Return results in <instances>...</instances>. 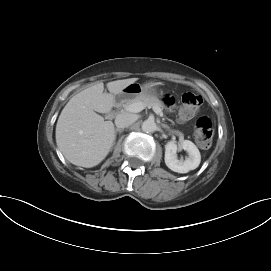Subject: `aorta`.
I'll list each match as a JSON object with an SVG mask.
<instances>
[{
	"mask_svg": "<svg viewBox=\"0 0 271 271\" xmlns=\"http://www.w3.org/2000/svg\"><path fill=\"white\" fill-rule=\"evenodd\" d=\"M141 128L145 133H153L156 130V123L154 120L147 119L142 123Z\"/></svg>",
	"mask_w": 271,
	"mask_h": 271,
	"instance_id": "obj_1",
	"label": "aorta"
}]
</instances>
